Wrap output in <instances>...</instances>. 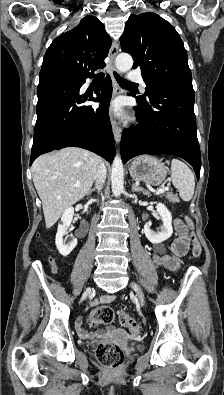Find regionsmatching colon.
I'll use <instances>...</instances> for the list:
<instances>
[{
	"label": "colon",
	"instance_id": "5ec220e1",
	"mask_svg": "<svg viewBox=\"0 0 224 395\" xmlns=\"http://www.w3.org/2000/svg\"><path fill=\"white\" fill-rule=\"evenodd\" d=\"M185 223L189 229L192 228V221L188 216H185ZM192 244V255L199 257L202 251L201 244L193 234L190 235ZM120 324L126 327L132 335H139L141 328L138 322L129 315L126 309H121L117 313ZM115 319L114 310L107 305L99 306L93 309L89 315V324L91 326L109 325ZM95 355L97 360L112 369L119 368L125 360L124 350L115 344L100 343L96 346Z\"/></svg>",
	"mask_w": 224,
	"mask_h": 395
}]
</instances>
